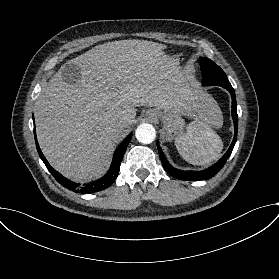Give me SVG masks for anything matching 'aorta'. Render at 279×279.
I'll return each instance as SVG.
<instances>
[{"mask_svg": "<svg viewBox=\"0 0 279 279\" xmlns=\"http://www.w3.org/2000/svg\"><path fill=\"white\" fill-rule=\"evenodd\" d=\"M135 136L140 143L149 144L154 141L156 137V131L151 124L145 123L137 127Z\"/></svg>", "mask_w": 279, "mask_h": 279, "instance_id": "obj_1", "label": "aorta"}]
</instances>
